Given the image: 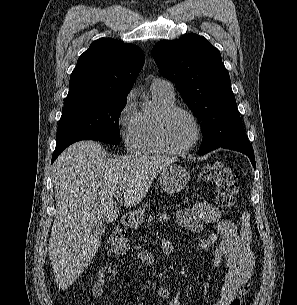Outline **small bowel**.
<instances>
[{
	"label": "small bowel",
	"mask_w": 297,
	"mask_h": 305,
	"mask_svg": "<svg viewBox=\"0 0 297 305\" xmlns=\"http://www.w3.org/2000/svg\"><path fill=\"white\" fill-rule=\"evenodd\" d=\"M174 222L194 232H202L205 225L210 224L215 232L198 242L201 250H211L212 265L217 268L225 264L228 268L219 296L213 305H231L239 288L250 278L254 267V257L245 239L239 234L234 222L224 219L220 211L205 202H197L190 207L181 208L174 212ZM161 248L165 254L180 251L179 247L168 240H162ZM145 266L154 262L153 255L148 251L137 252L135 258ZM126 263V262H125ZM123 263V264H125ZM120 266L104 268L96 283L92 286V295L99 299L105 291V279L115 277ZM159 297L168 300V305H181L183 288L176 286L173 289L160 287L157 289ZM89 305H98L96 301Z\"/></svg>",
	"instance_id": "small-bowel-1"
}]
</instances>
